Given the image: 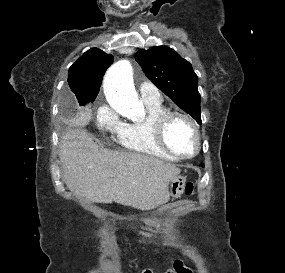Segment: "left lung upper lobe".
<instances>
[{
	"label": "left lung upper lobe",
	"instance_id": "obj_1",
	"mask_svg": "<svg viewBox=\"0 0 285 273\" xmlns=\"http://www.w3.org/2000/svg\"><path fill=\"white\" fill-rule=\"evenodd\" d=\"M135 57L147 77L200 124L198 77L191 64L166 46L142 49Z\"/></svg>",
	"mask_w": 285,
	"mask_h": 273
}]
</instances>
